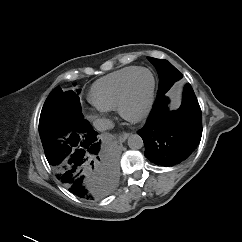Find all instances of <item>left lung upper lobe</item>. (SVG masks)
I'll list each match as a JSON object with an SVG mask.
<instances>
[{"label": "left lung upper lobe", "instance_id": "left-lung-upper-lobe-1", "mask_svg": "<svg viewBox=\"0 0 242 242\" xmlns=\"http://www.w3.org/2000/svg\"><path fill=\"white\" fill-rule=\"evenodd\" d=\"M156 67L159 75V89L157 97L165 95L171 86L182 78V74L167 60L148 57Z\"/></svg>", "mask_w": 242, "mask_h": 242}]
</instances>
